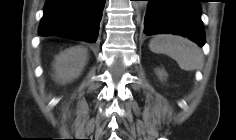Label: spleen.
Here are the masks:
<instances>
[{"label": "spleen", "mask_w": 236, "mask_h": 140, "mask_svg": "<svg viewBox=\"0 0 236 140\" xmlns=\"http://www.w3.org/2000/svg\"><path fill=\"white\" fill-rule=\"evenodd\" d=\"M149 48L154 53L166 54L185 71H194L203 65V54L194 42L175 35H157L151 39Z\"/></svg>", "instance_id": "obj_1"}]
</instances>
